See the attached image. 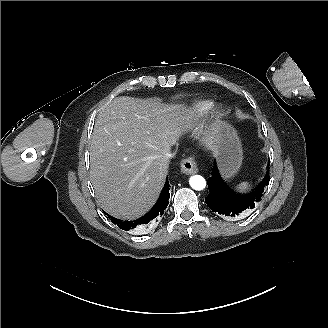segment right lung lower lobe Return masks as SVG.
I'll use <instances>...</instances> for the list:
<instances>
[{
    "mask_svg": "<svg viewBox=\"0 0 328 328\" xmlns=\"http://www.w3.org/2000/svg\"><path fill=\"white\" fill-rule=\"evenodd\" d=\"M169 183L168 178L160 194V197L154 207L143 217L134 221H123L112 216H109L112 223L116 224L120 229L128 231L132 229H143L147 228L151 223L157 222L158 219L163 215L167 205L169 203L170 193H169Z\"/></svg>",
    "mask_w": 328,
    "mask_h": 328,
    "instance_id": "obj_1",
    "label": "right lung lower lobe"
}]
</instances>
